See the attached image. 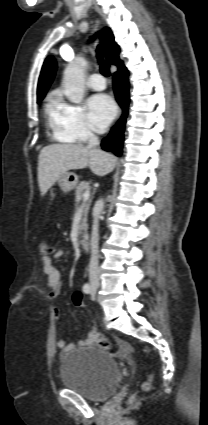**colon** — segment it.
Wrapping results in <instances>:
<instances>
[{
    "mask_svg": "<svg viewBox=\"0 0 208 425\" xmlns=\"http://www.w3.org/2000/svg\"><path fill=\"white\" fill-rule=\"evenodd\" d=\"M38 250L44 256L50 255L54 252V248L46 242H41L38 245ZM72 301L75 306L80 307L82 305V295L79 292H75L72 296ZM90 333H91L93 342L96 345H98L99 347L105 350H109V351L113 350L112 343L107 338H105L101 333H99L95 329H92ZM152 379H153V376L151 374L148 376L147 380L143 383L142 388L145 390L149 389L152 384ZM132 402H133V399L129 401V403H132Z\"/></svg>",
    "mask_w": 208,
    "mask_h": 425,
    "instance_id": "5ec220e1",
    "label": "colon"
}]
</instances>
